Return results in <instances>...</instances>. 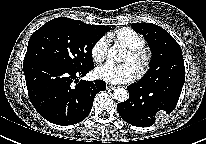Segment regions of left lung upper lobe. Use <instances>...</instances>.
<instances>
[{"instance_id":"left-lung-upper-lobe-1","label":"left lung upper lobe","mask_w":206,"mask_h":144,"mask_svg":"<svg viewBox=\"0 0 206 144\" xmlns=\"http://www.w3.org/2000/svg\"><path fill=\"white\" fill-rule=\"evenodd\" d=\"M131 26L145 37L152 52L150 69L138 81L140 84L150 86L185 73L181 47L166 30L152 23H133Z\"/></svg>"}]
</instances>
